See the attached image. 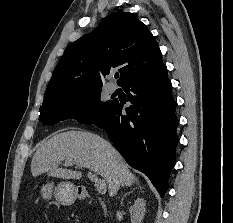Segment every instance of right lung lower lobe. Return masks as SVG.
Segmentation results:
<instances>
[{"instance_id": "right-lung-lower-lobe-1", "label": "right lung lower lobe", "mask_w": 233, "mask_h": 223, "mask_svg": "<svg viewBox=\"0 0 233 223\" xmlns=\"http://www.w3.org/2000/svg\"><path fill=\"white\" fill-rule=\"evenodd\" d=\"M122 87L132 103L126 115L122 114V102L113 100L91 123L107 132L127 163L147 175L163 196L175 164L179 123L167 68L161 63L127 80Z\"/></svg>"}]
</instances>
